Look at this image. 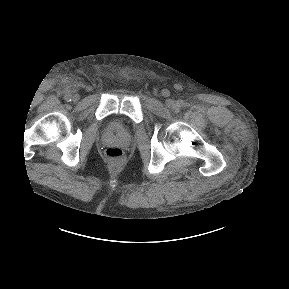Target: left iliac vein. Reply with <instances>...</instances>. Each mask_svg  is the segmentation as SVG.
Wrapping results in <instances>:
<instances>
[{
  "label": "left iliac vein",
  "instance_id": "obj_1",
  "mask_svg": "<svg viewBox=\"0 0 289 289\" xmlns=\"http://www.w3.org/2000/svg\"><path fill=\"white\" fill-rule=\"evenodd\" d=\"M166 105H167L169 108H174V107H175V101L172 100V99H169V100H167Z\"/></svg>",
  "mask_w": 289,
  "mask_h": 289
}]
</instances>
